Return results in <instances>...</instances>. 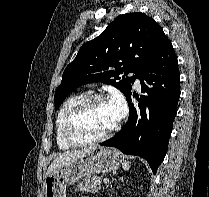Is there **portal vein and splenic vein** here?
Wrapping results in <instances>:
<instances>
[{"mask_svg":"<svg viewBox=\"0 0 209 197\" xmlns=\"http://www.w3.org/2000/svg\"><path fill=\"white\" fill-rule=\"evenodd\" d=\"M103 182H104V183H108V182H109V179H108V178H105V179L103 180Z\"/></svg>","mask_w":209,"mask_h":197,"instance_id":"portal-vein-and-splenic-vein-1","label":"portal vein and splenic vein"}]
</instances>
